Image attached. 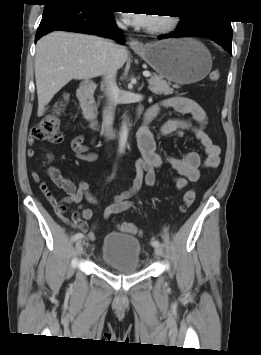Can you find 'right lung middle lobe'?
<instances>
[{
    "instance_id": "right-lung-middle-lobe-1",
    "label": "right lung middle lobe",
    "mask_w": 261,
    "mask_h": 355,
    "mask_svg": "<svg viewBox=\"0 0 261 355\" xmlns=\"http://www.w3.org/2000/svg\"><path fill=\"white\" fill-rule=\"evenodd\" d=\"M100 1L102 0H84V2L94 4V5H100Z\"/></svg>"
}]
</instances>
